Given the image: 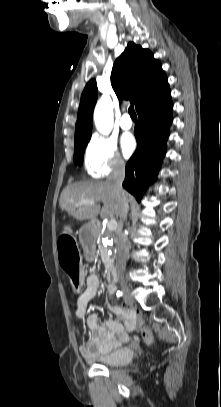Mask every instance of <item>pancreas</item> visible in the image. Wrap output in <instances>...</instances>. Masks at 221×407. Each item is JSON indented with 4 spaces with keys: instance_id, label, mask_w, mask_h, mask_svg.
I'll return each mask as SVG.
<instances>
[{
    "instance_id": "1",
    "label": "pancreas",
    "mask_w": 221,
    "mask_h": 407,
    "mask_svg": "<svg viewBox=\"0 0 221 407\" xmlns=\"http://www.w3.org/2000/svg\"><path fill=\"white\" fill-rule=\"evenodd\" d=\"M102 236H106V237L110 238V237H112V231L108 230ZM99 250H100L101 259H102L103 263L105 264V267L108 269L109 267H111V264H112V259L108 253V249L103 248L100 245Z\"/></svg>"
}]
</instances>
